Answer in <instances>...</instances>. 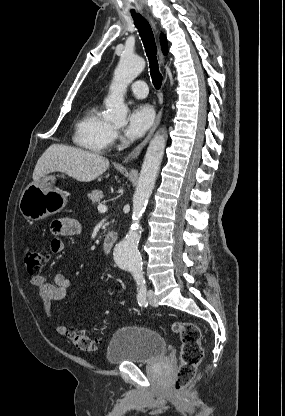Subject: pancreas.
<instances>
[{
	"mask_svg": "<svg viewBox=\"0 0 285 416\" xmlns=\"http://www.w3.org/2000/svg\"><path fill=\"white\" fill-rule=\"evenodd\" d=\"M89 200H91L92 204H99L101 202L103 196V192L101 190H94L91 194H88Z\"/></svg>",
	"mask_w": 285,
	"mask_h": 416,
	"instance_id": "cf45deb5",
	"label": "pancreas"
}]
</instances>
